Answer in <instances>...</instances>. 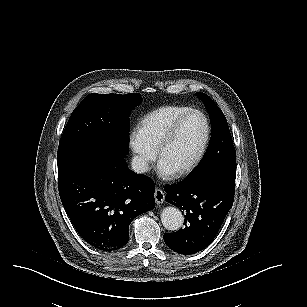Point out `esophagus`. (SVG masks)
<instances>
[{
    "mask_svg": "<svg viewBox=\"0 0 307 307\" xmlns=\"http://www.w3.org/2000/svg\"><path fill=\"white\" fill-rule=\"evenodd\" d=\"M165 200V194L161 189H155V202L157 204H162Z\"/></svg>",
    "mask_w": 307,
    "mask_h": 307,
    "instance_id": "obj_1",
    "label": "esophagus"
}]
</instances>
